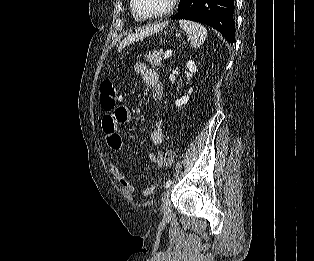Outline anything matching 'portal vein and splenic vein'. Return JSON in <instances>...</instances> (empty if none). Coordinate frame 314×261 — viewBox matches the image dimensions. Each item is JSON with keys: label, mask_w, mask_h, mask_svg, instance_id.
I'll use <instances>...</instances> for the list:
<instances>
[{"label": "portal vein and splenic vein", "mask_w": 314, "mask_h": 261, "mask_svg": "<svg viewBox=\"0 0 314 261\" xmlns=\"http://www.w3.org/2000/svg\"><path fill=\"white\" fill-rule=\"evenodd\" d=\"M171 55H172V51L168 50L164 55V59H168Z\"/></svg>", "instance_id": "portal-vein-and-splenic-vein-1"}]
</instances>
